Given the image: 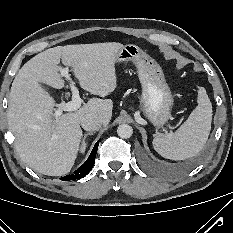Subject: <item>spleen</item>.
Returning a JSON list of instances; mask_svg holds the SVG:
<instances>
[{
	"label": "spleen",
	"mask_w": 233,
	"mask_h": 233,
	"mask_svg": "<svg viewBox=\"0 0 233 233\" xmlns=\"http://www.w3.org/2000/svg\"><path fill=\"white\" fill-rule=\"evenodd\" d=\"M197 107L174 133H160L153 139L157 153L167 159L184 160L202 150L211 130L212 105L206 90L198 89Z\"/></svg>",
	"instance_id": "obj_1"
}]
</instances>
